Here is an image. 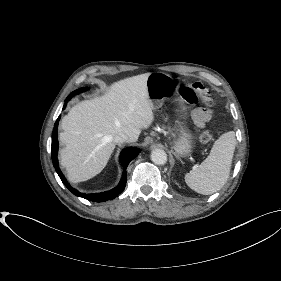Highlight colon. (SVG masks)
I'll return each mask as SVG.
<instances>
[{
    "label": "colon",
    "instance_id": "1",
    "mask_svg": "<svg viewBox=\"0 0 281 281\" xmlns=\"http://www.w3.org/2000/svg\"><path fill=\"white\" fill-rule=\"evenodd\" d=\"M180 95L188 103H198L206 108L213 106V99L208 89L199 82H194L182 88ZM213 137L214 133L211 130H206L201 134L200 140L203 143H209L213 140Z\"/></svg>",
    "mask_w": 281,
    "mask_h": 281
}]
</instances>
